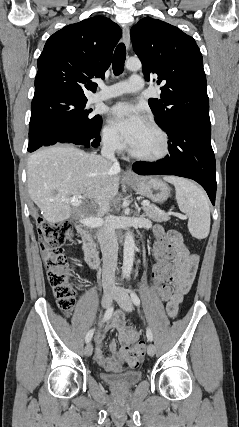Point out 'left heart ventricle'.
Returning <instances> with one entry per match:
<instances>
[{"label": "left heart ventricle", "instance_id": "1", "mask_svg": "<svg viewBox=\"0 0 239 427\" xmlns=\"http://www.w3.org/2000/svg\"><path fill=\"white\" fill-rule=\"evenodd\" d=\"M132 150L144 155H155L162 148L160 135L146 122L135 140L130 144Z\"/></svg>", "mask_w": 239, "mask_h": 427}]
</instances>
